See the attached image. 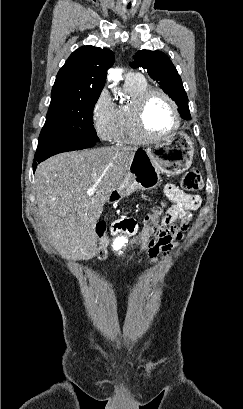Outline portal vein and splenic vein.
<instances>
[{"mask_svg":"<svg viewBox=\"0 0 243 409\" xmlns=\"http://www.w3.org/2000/svg\"><path fill=\"white\" fill-rule=\"evenodd\" d=\"M95 191H96V188H95V186H93V187H91V188H89V189L87 190V195H88V196H93L94 193H95Z\"/></svg>","mask_w":243,"mask_h":409,"instance_id":"portal-vein-and-splenic-vein-1","label":"portal vein and splenic vein"}]
</instances>
